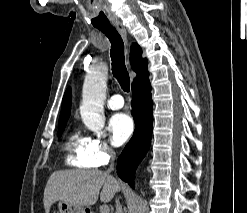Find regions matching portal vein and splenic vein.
I'll list each match as a JSON object with an SVG mask.
<instances>
[{
    "mask_svg": "<svg viewBox=\"0 0 247 213\" xmlns=\"http://www.w3.org/2000/svg\"><path fill=\"white\" fill-rule=\"evenodd\" d=\"M100 213H109V207L107 205L100 206Z\"/></svg>",
    "mask_w": 247,
    "mask_h": 213,
    "instance_id": "1",
    "label": "portal vein and splenic vein"
}]
</instances>
